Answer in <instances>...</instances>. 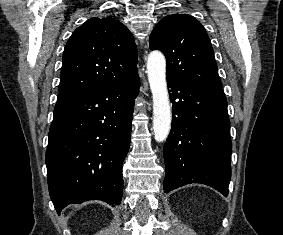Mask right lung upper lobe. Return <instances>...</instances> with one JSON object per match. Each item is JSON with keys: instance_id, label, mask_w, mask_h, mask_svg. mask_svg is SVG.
I'll use <instances>...</instances> for the list:
<instances>
[{"instance_id": "1", "label": "right lung upper lobe", "mask_w": 283, "mask_h": 235, "mask_svg": "<svg viewBox=\"0 0 283 235\" xmlns=\"http://www.w3.org/2000/svg\"><path fill=\"white\" fill-rule=\"evenodd\" d=\"M137 48L127 27L112 17L91 18L69 38L63 53L58 100L137 73Z\"/></svg>"}]
</instances>
